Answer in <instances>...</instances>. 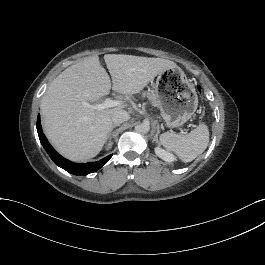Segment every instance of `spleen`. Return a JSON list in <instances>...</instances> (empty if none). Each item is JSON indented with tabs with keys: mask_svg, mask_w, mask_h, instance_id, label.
Listing matches in <instances>:
<instances>
[{
	"mask_svg": "<svg viewBox=\"0 0 265 265\" xmlns=\"http://www.w3.org/2000/svg\"><path fill=\"white\" fill-rule=\"evenodd\" d=\"M159 141L165 149L174 153L179 160L189 162L201 154L207 147L209 128L202 121L196 128L185 135L180 133H162L159 136Z\"/></svg>",
	"mask_w": 265,
	"mask_h": 265,
	"instance_id": "3e777b00",
	"label": "spleen"
}]
</instances>
